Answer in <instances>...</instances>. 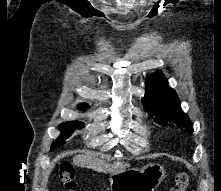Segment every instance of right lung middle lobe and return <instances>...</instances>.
Wrapping results in <instances>:
<instances>
[{"mask_svg": "<svg viewBox=\"0 0 221 191\" xmlns=\"http://www.w3.org/2000/svg\"><path fill=\"white\" fill-rule=\"evenodd\" d=\"M61 135L52 143L51 145V151L56 146H61L65 144L66 139L70 137V135L74 132L76 129H82L84 127V123L78 122V121H69L65 122L59 125Z\"/></svg>", "mask_w": 221, "mask_h": 191, "instance_id": "obj_1", "label": "right lung middle lobe"}]
</instances>
